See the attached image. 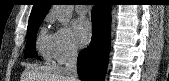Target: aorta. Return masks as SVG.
Returning <instances> with one entry per match:
<instances>
[{
	"mask_svg": "<svg viewBox=\"0 0 169 81\" xmlns=\"http://www.w3.org/2000/svg\"><path fill=\"white\" fill-rule=\"evenodd\" d=\"M53 10L58 21L67 26L73 15L72 5H54Z\"/></svg>",
	"mask_w": 169,
	"mask_h": 81,
	"instance_id": "aorta-1",
	"label": "aorta"
}]
</instances>
